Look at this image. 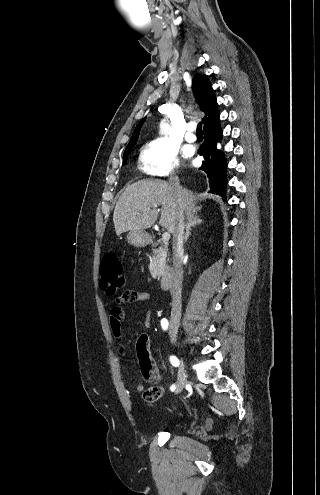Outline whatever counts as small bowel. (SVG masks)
Instances as JSON below:
<instances>
[{"instance_id": "small-bowel-1", "label": "small bowel", "mask_w": 320, "mask_h": 495, "mask_svg": "<svg viewBox=\"0 0 320 495\" xmlns=\"http://www.w3.org/2000/svg\"><path fill=\"white\" fill-rule=\"evenodd\" d=\"M151 301V297L149 293L146 292H138L134 290L125 291L121 297L117 300L116 304L110 310V318L109 323L112 332L116 336H120L122 332V324L125 319V310L123 304L125 303H149ZM146 327L151 326V315L150 311H147L146 318L144 322ZM141 364V363H140ZM142 374L146 379L151 381L154 376H159L158 369L155 365L151 364L150 367H145L141 364ZM135 390L138 392L144 391V385L142 383L135 384Z\"/></svg>"}]
</instances>
